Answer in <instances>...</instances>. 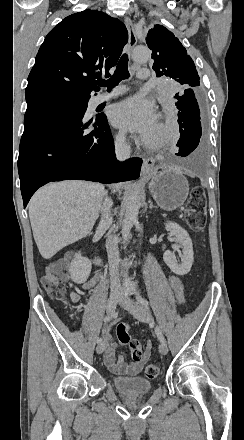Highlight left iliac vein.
<instances>
[{
    "label": "left iliac vein",
    "instance_id": "4c4485c4",
    "mask_svg": "<svg viewBox=\"0 0 244 440\" xmlns=\"http://www.w3.org/2000/svg\"><path fill=\"white\" fill-rule=\"evenodd\" d=\"M121 305L140 322H150L152 320L151 315L147 311V309L138 305L133 299L129 297L122 298ZM159 352L163 355L168 353V348L165 343H160Z\"/></svg>",
    "mask_w": 244,
    "mask_h": 440
}]
</instances>
